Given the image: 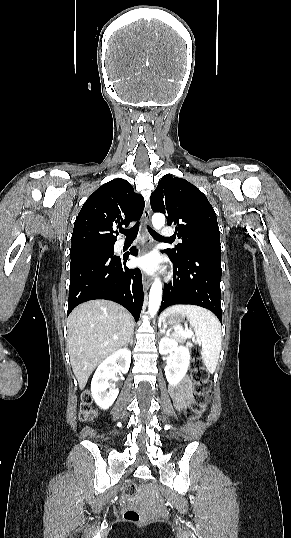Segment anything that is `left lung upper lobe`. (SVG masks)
<instances>
[{
    "mask_svg": "<svg viewBox=\"0 0 291 538\" xmlns=\"http://www.w3.org/2000/svg\"><path fill=\"white\" fill-rule=\"evenodd\" d=\"M151 208L167 216V224L175 225L182 240L166 249L174 259L194 250L221 252L216 213L207 197L185 179L164 175L151 194Z\"/></svg>",
    "mask_w": 291,
    "mask_h": 538,
    "instance_id": "1",
    "label": "left lung upper lobe"
}]
</instances>
